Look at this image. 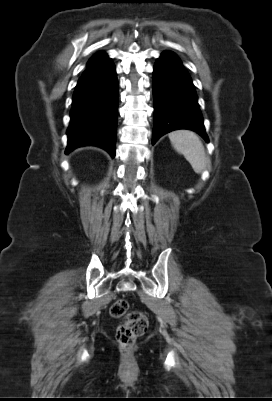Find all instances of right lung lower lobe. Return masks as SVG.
Wrapping results in <instances>:
<instances>
[{
	"mask_svg": "<svg viewBox=\"0 0 272 401\" xmlns=\"http://www.w3.org/2000/svg\"><path fill=\"white\" fill-rule=\"evenodd\" d=\"M118 81L115 66L104 52L88 61L73 95L68 154L80 146H99L115 156Z\"/></svg>",
	"mask_w": 272,
	"mask_h": 401,
	"instance_id": "98d812e1",
	"label": "right lung lower lobe"
}]
</instances>
